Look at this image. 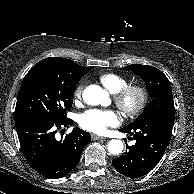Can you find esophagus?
I'll return each instance as SVG.
<instances>
[{
    "label": "esophagus",
    "mask_w": 194,
    "mask_h": 194,
    "mask_svg": "<svg viewBox=\"0 0 194 194\" xmlns=\"http://www.w3.org/2000/svg\"><path fill=\"white\" fill-rule=\"evenodd\" d=\"M91 138H92V140H104L105 139L104 137L98 136L95 134H91Z\"/></svg>",
    "instance_id": "obj_1"
}]
</instances>
